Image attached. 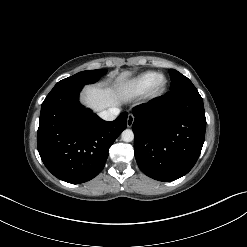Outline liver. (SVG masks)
<instances>
[{
    "instance_id": "liver-1",
    "label": "liver",
    "mask_w": 247,
    "mask_h": 247,
    "mask_svg": "<svg viewBox=\"0 0 247 247\" xmlns=\"http://www.w3.org/2000/svg\"><path fill=\"white\" fill-rule=\"evenodd\" d=\"M130 76L131 72H122L111 87L86 86L81 95L83 103L95 112L121 105L129 99L126 81Z\"/></svg>"
}]
</instances>
